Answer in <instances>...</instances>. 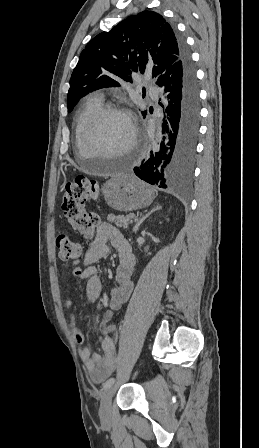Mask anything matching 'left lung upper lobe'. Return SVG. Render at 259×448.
Instances as JSON below:
<instances>
[{"label": "left lung upper lobe", "instance_id": "5c2ea615", "mask_svg": "<svg viewBox=\"0 0 259 448\" xmlns=\"http://www.w3.org/2000/svg\"><path fill=\"white\" fill-rule=\"evenodd\" d=\"M181 54L179 38L162 15L143 11L128 17L95 36L81 52L70 78L68 112L89 92L120 86L117 77L132 82L133 72L144 74L150 66L152 77H159Z\"/></svg>", "mask_w": 259, "mask_h": 448}]
</instances>
